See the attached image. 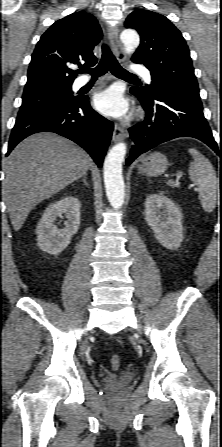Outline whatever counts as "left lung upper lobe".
<instances>
[{"mask_svg": "<svg viewBox=\"0 0 222 447\" xmlns=\"http://www.w3.org/2000/svg\"><path fill=\"white\" fill-rule=\"evenodd\" d=\"M125 27L137 30L141 36L132 61L144 64L152 75L150 86L132 89L151 97L161 87L168 86L200 99L187 44L181 32L165 16L135 10L126 19Z\"/></svg>", "mask_w": 222, "mask_h": 447, "instance_id": "obj_1", "label": "left lung upper lobe"}]
</instances>
